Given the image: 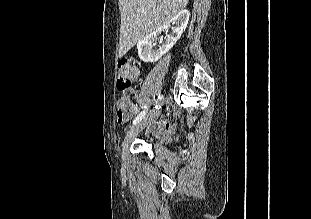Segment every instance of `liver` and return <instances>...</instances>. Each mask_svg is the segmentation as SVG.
<instances>
[{"mask_svg": "<svg viewBox=\"0 0 311 219\" xmlns=\"http://www.w3.org/2000/svg\"><path fill=\"white\" fill-rule=\"evenodd\" d=\"M189 0H119V57L181 12Z\"/></svg>", "mask_w": 311, "mask_h": 219, "instance_id": "liver-1", "label": "liver"}]
</instances>
